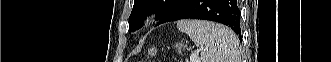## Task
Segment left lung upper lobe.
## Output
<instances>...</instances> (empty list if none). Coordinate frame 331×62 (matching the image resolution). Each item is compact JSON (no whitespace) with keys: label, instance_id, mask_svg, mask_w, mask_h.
I'll use <instances>...</instances> for the list:
<instances>
[{"label":"left lung upper lobe","instance_id":"5c2ea615","mask_svg":"<svg viewBox=\"0 0 331 62\" xmlns=\"http://www.w3.org/2000/svg\"><path fill=\"white\" fill-rule=\"evenodd\" d=\"M185 0H135L129 17L130 31H134L137 25L143 23L148 14L155 12L158 20L156 25L166 23L177 11Z\"/></svg>","mask_w":331,"mask_h":62}]
</instances>
